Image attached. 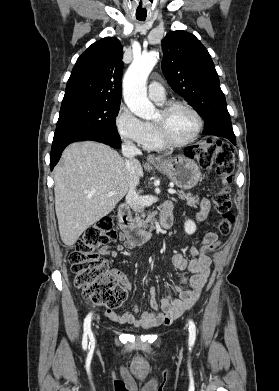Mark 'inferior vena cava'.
Returning <instances> with one entry per match:
<instances>
[{
	"mask_svg": "<svg viewBox=\"0 0 279 391\" xmlns=\"http://www.w3.org/2000/svg\"><path fill=\"white\" fill-rule=\"evenodd\" d=\"M122 153L128 159L126 161V168L132 178L126 202L130 205L133 211L143 212L144 205L142 204L140 196L136 192V186L139 184V178L135 176L134 157L141 155V151L131 142H125L122 145Z\"/></svg>",
	"mask_w": 279,
	"mask_h": 391,
	"instance_id": "1",
	"label": "inferior vena cava"
}]
</instances>
